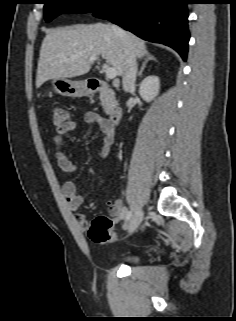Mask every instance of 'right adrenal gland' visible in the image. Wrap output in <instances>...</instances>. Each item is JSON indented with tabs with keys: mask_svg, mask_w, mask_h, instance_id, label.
Wrapping results in <instances>:
<instances>
[{
	"mask_svg": "<svg viewBox=\"0 0 236 321\" xmlns=\"http://www.w3.org/2000/svg\"><path fill=\"white\" fill-rule=\"evenodd\" d=\"M145 56H146V57H145V60H144V62L142 63L141 69H140V71L138 72L137 77H141V76H142V73H143L144 69L146 68V65H147L148 61L152 60V61L157 62V59H156L153 55H151V54H146Z\"/></svg>",
	"mask_w": 236,
	"mask_h": 321,
	"instance_id": "right-adrenal-gland-1",
	"label": "right adrenal gland"
}]
</instances>
